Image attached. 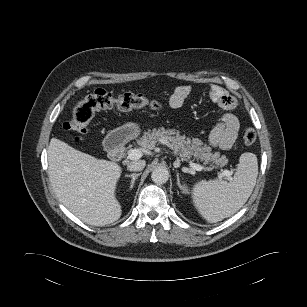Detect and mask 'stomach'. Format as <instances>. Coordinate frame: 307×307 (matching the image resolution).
Masks as SVG:
<instances>
[{"instance_id":"0dacf381","label":"stomach","mask_w":307,"mask_h":307,"mask_svg":"<svg viewBox=\"0 0 307 307\" xmlns=\"http://www.w3.org/2000/svg\"><path fill=\"white\" fill-rule=\"evenodd\" d=\"M139 134L140 126L133 122H128L110 133L111 136L117 137L120 141H128L134 139Z\"/></svg>"}]
</instances>
